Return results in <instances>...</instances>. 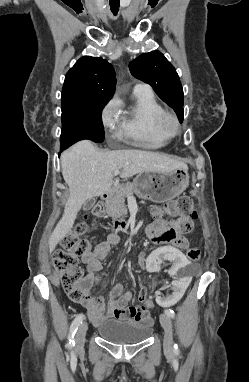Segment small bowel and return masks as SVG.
Segmentation results:
<instances>
[{"label": "small bowel", "mask_w": 249, "mask_h": 382, "mask_svg": "<svg viewBox=\"0 0 249 382\" xmlns=\"http://www.w3.org/2000/svg\"><path fill=\"white\" fill-rule=\"evenodd\" d=\"M196 218V216L172 215L150 226L147 229V234L153 238L152 245L160 246L161 242H170L177 245L178 250L186 248L188 242L184 235L193 231ZM119 242L120 236L112 232L108 234L105 241L100 242L93 250L82 255V261L87 268V274L84 277L86 297L79 303L86 308L88 317L94 324H100L107 318H116L142 325H151L150 310L154 305L153 301L147 299L145 302H141L142 305L140 306L129 307L128 304L133 294L131 291H124L122 284H116L112 288L107 305H105L103 299L94 298L89 293L95 282L106 283V280L98 277L96 272L101 269V261L107 257L111 247ZM145 258L144 254H140L138 261L145 260Z\"/></svg>", "instance_id": "c3829d8e"}]
</instances>
